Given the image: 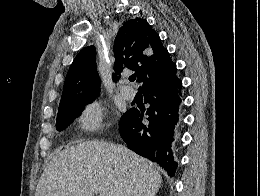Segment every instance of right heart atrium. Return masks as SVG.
<instances>
[{
    "label": "right heart atrium",
    "mask_w": 260,
    "mask_h": 196,
    "mask_svg": "<svg viewBox=\"0 0 260 196\" xmlns=\"http://www.w3.org/2000/svg\"><path fill=\"white\" fill-rule=\"evenodd\" d=\"M104 119V111L98 101H92L85 105L78 117L81 128L94 130L101 126ZM84 143H105L98 140H87ZM126 163V162H125Z\"/></svg>",
    "instance_id": "right-heart-atrium-1"
}]
</instances>
